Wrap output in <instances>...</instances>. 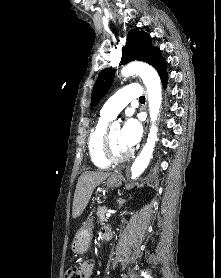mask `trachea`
I'll use <instances>...</instances> for the list:
<instances>
[{
	"label": "trachea",
	"instance_id": "1",
	"mask_svg": "<svg viewBox=\"0 0 221 278\" xmlns=\"http://www.w3.org/2000/svg\"><path fill=\"white\" fill-rule=\"evenodd\" d=\"M139 101L144 102V101H145V97H144V96H141V97L139 98Z\"/></svg>",
	"mask_w": 221,
	"mask_h": 278
}]
</instances>
